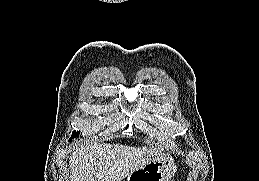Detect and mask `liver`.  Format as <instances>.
I'll return each instance as SVG.
<instances>
[{
	"label": "liver",
	"instance_id": "obj_1",
	"mask_svg": "<svg viewBox=\"0 0 259 181\" xmlns=\"http://www.w3.org/2000/svg\"><path fill=\"white\" fill-rule=\"evenodd\" d=\"M161 154L159 148L94 143L80 146L70 156V181H122Z\"/></svg>",
	"mask_w": 259,
	"mask_h": 181
}]
</instances>
